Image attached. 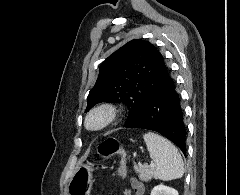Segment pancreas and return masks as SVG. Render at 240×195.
<instances>
[{"label": "pancreas", "mask_w": 240, "mask_h": 195, "mask_svg": "<svg viewBox=\"0 0 240 195\" xmlns=\"http://www.w3.org/2000/svg\"><path fill=\"white\" fill-rule=\"evenodd\" d=\"M135 169L141 181H151L152 177H157L156 169L151 165H143V167H135Z\"/></svg>", "instance_id": "obj_1"}]
</instances>
